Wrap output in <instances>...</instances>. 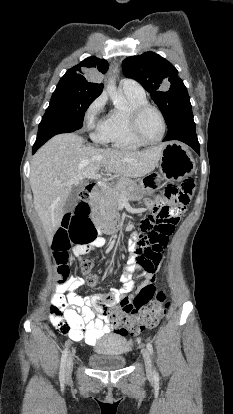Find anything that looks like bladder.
Segmentation results:
<instances>
[{
    "label": "bladder",
    "mask_w": 233,
    "mask_h": 414,
    "mask_svg": "<svg viewBox=\"0 0 233 414\" xmlns=\"http://www.w3.org/2000/svg\"><path fill=\"white\" fill-rule=\"evenodd\" d=\"M128 348L122 334L109 333L103 336L96 345V353L88 357V364L99 371H113L124 368L127 359L124 356Z\"/></svg>",
    "instance_id": "1"
}]
</instances>
